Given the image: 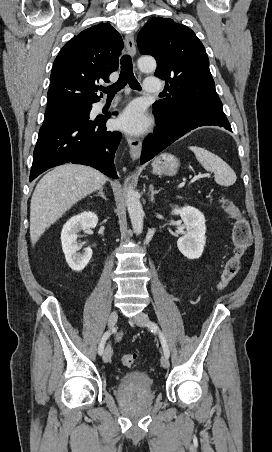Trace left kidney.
I'll list each match as a JSON object with an SVG mask.
<instances>
[{
  "label": "left kidney",
  "instance_id": "left-kidney-1",
  "mask_svg": "<svg viewBox=\"0 0 272 452\" xmlns=\"http://www.w3.org/2000/svg\"><path fill=\"white\" fill-rule=\"evenodd\" d=\"M172 214L180 215L187 229L186 234L177 241L179 251L188 259L200 258L206 244L205 216L192 206L175 207Z\"/></svg>",
  "mask_w": 272,
  "mask_h": 452
}]
</instances>
